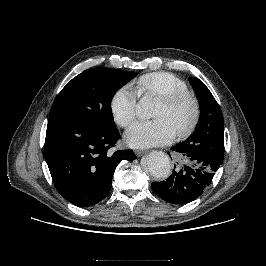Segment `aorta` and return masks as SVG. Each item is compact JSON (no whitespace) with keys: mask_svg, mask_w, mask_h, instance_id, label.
Segmentation results:
<instances>
[{"mask_svg":"<svg viewBox=\"0 0 266 266\" xmlns=\"http://www.w3.org/2000/svg\"><path fill=\"white\" fill-rule=\"evenodd\" d=\"M136 114L139 118H150L152 115L151 103L143 99L136 107ZM145 165L149 172L157 178L167 177L170 173V159L162 151H153L145 158Z\"/></svg>","mask_w":266,"mask_h":266,"instance_id":"obj_1","label":"aorta"}]
</instances>
